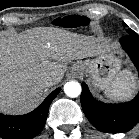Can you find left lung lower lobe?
Segmentation results:
<instances>
[{
    "label": "left lung lower lobe",
    "instance_id": "1",
    "mask_svg": "<svg viewBox=\"0 0 139 139\" xmlns=\"http://www.w3.org/2000/svg\"><path fill=\"white\" fill-rule=\"evenodd\" d=\"M121 45L128 53L139 73V37L133 30L122 37ZM82 109L88 120L98 130L108 133H123L131 130L139 121V93L130 102L121 104L102 103L91 95L82 84Z\"/></svg>",
    "mask_w": 139,
    "mask_h": 139
}]
</instances>
